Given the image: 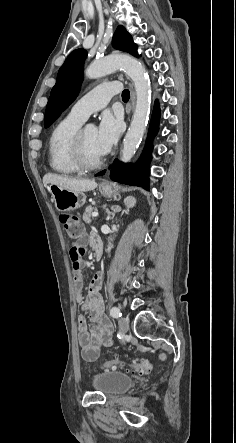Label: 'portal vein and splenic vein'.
Segmentation results:
<instances>
[{"mask_svg":"<svg viewBox=\"0 0 236 443\" xmlns=\"http://www.w3.org/2000/svg\"><path fill=\"white\" fill-rule=\"evenodd\" d=\"M98 216V213L97 212H93L92 213V217H97Z\"/></svg>","mask_w":236,"mask_h":443,"instance_id":"18ae733b","label":"portal vein and splenic vein"}]
</instances>
